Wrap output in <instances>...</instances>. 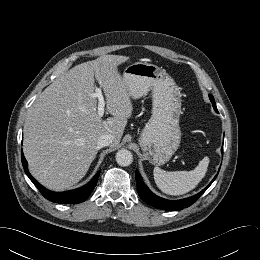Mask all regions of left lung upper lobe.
Instances as JSON below:
<instances>
[{
	"label": "left lung upper lobe",
	"mask_w": 260,
	"mask_h": 260,
	"mask_svg": "<svg viewBox=\"0 0 260 260\" xmlns=\"http://www.w3.org/2000/svg\"><path fill=\"white\" fill-rule=\"evenodd\" d=\"M209 98L212 102V105H213V108L216 112H218L217 108H216V104H215V100H214V97L212 95H209Z\"/></svg>",
	"instance_id": "5c2ea615"
}]
</instances>
